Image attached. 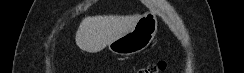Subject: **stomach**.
Listing matches in <instances>:
<instances>
[{"mask_svg": "<svg viewBox=\"0 0 244 73\" xmlns=\"http://www.w3.org/2000/svg\"><path fill=\"white\" fill-rule=\"evenodd\" d=\"M157 27L156 15L153 12H147L139 18L129 32L111 41L108 44V49L116 55L137 54L146 49L153 41Z\"/></svg>", "mask_w": 244, "mask_h": 73, "instance_id": "0dacf381", "label": "stomach"}]
</instances>
